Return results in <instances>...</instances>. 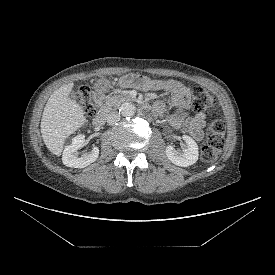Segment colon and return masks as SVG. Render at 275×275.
I'll list each match as a JSON object with an SVG mask.
<instances>
[{
    "instance_id": "colon-1",
    "label": "colon",
    "mask_w": 275,
    "mask_h": 275,
    "mask_svg": "<svg viewBox=\"0 0 275 275\" xmlns=\"http://www.w3.org/2000/svg\"><path fill=\"white\" fill-rule=\"evenodd\" d=\"M76 98L87 116H92L96 109L95 101L87 86L81 87ZM193 106L196 111L211 109L215 106L216 100L213 95L201 87L193 91ZM207 142L201 148L202 159L206 162L217 160L224 145L225 126L223 121L216 115L211 117L207 127Z\"/></svg>"
}]
</instances>
